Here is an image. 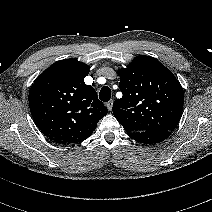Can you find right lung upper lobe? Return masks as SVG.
I'll list each match as a JSON object with an SVG mask.
<instances>
[{"instance_id":"right-lung-upper-lobe-1","label":"right lung upper lobe","mask_w":212,"mask_h":212,"mask_svg":"<svg viewBox=\"0 0 212 212\" xmlns=\"http://www.w3.org/2000/svg\"><path fill=\"white\" fill-rule=\"evenodd\" d=\"M89 66L76 59L57 61L32 84L29 107L35 123L50 140L66 145L87 139L108 109L86 85Z\"/></svg>"}]
</instances>
